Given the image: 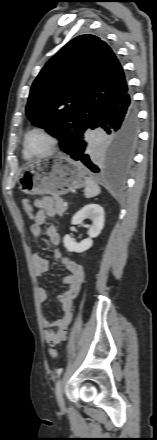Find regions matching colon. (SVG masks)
I'll return each mask as SVG.
<instances>
[{"instance_id": "1", "label": "colon", "mask_w": 157, "mask_h": 440, "mask_svg": "<svg viewBox=\"0 0 157 440\" xmlns=\"http://www.w3.org/2000/svg\"><path fill=\"white\" fill-rule=\"evenodd\" d=\"M22 207H23V210L25 211V213L28 214V215H30L32 213V211H33L32 206H31L30 202L27 199H24L22 201ZM49 355L52 358L57 357V355H58L57 349L50 348L49 349Z\"/></svg>"}]
</instances>
